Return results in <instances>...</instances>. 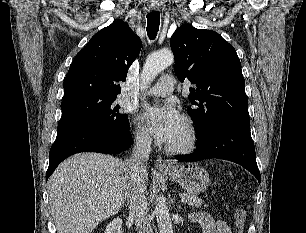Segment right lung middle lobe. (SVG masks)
<instances>
[{
  "mask_svg": "<svg viewBox=\"0 0 306 233\" xmlns=\"http://www.w3.org/2000/svg\"><path fill=\"white\" fill-rule=\"evenodd\" d=\"M114 100L85 97L63 102L56 140L86 129L129 130L128 117L118 113L120 106L115 105Z\"/></svg>",
  "mask_w": 306,
  "mask_h": 233,
  "instance_id": "right-lung-middle-lobe-1",
  "label": "right lung middle lobe"
}]
</instances>
